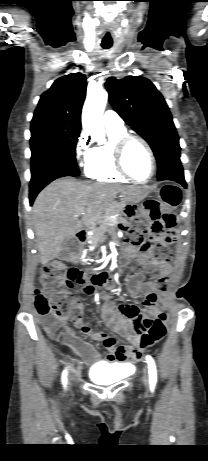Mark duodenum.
Instances as JSON below:
<instances>
[{"mask_svg": "<svg viewBox=\"0 0 208 461\" xmlns=\"http://www.w3.org/2000/svg\"><path fill=\"white\" fill-rule=\"evenodd\" d=\"M88 235H89V231L86 230V229H83V230H81V231H79V232L77 233V238H78L80 241L84 242V241L87 240Z\"/></svg>", "mask_w": 208, "mask_h": 461, "instance_id": "duodenum-1", "label": "duodenum"}]
</instances>
